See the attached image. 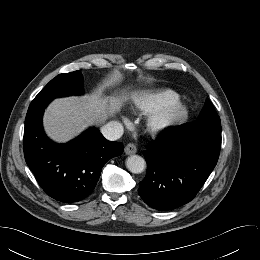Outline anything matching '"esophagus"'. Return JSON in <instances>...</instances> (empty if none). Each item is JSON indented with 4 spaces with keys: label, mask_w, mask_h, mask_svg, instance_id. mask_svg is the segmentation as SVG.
Segmentation results:
<instances>
[{
    "label": "esophagus",
    "mask_w": 260,
    "mask_h": 260,
    "mask_svg": "<svg viewBox=\"0 0 260 260\" xmlns=\"http://www.w3.org/2000/svg\"><path fill=\"white\" fill-rule=\"evenodd\" d=\"M124 152L127 154V155H132V154H135L137 152V147L132 144V143H129L125 146L124 148Z\"/></svg>",
    "instance_id": "1"
}]
</instances>
